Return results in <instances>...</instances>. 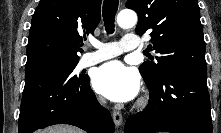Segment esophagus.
<instances>
[{
	"label": "esophagus",
	"mask_w": 221,
	"mask_h": 133,
	"mask_svg": "<svg viewBox=\"0 0 221 133\" xmlns=\"http://www.w3.org/2000/svg\"><path fill=\"white\" fill-rule=\"evenodd\" d=\"M112 117L114 124L119 127L122 124L123 120L122 114L119 111H113Z\"/></svg>",
	"instance_id": "esophagus-1"
}]
</instances>
